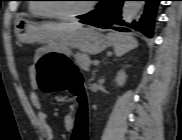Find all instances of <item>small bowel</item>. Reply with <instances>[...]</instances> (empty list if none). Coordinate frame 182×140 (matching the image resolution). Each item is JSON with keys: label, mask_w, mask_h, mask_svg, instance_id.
Returning <instances> with one entry per match:
<instances>
[{"label": "small bowel", "mask_w": 182, "mask_h": 140, "mask_svg": "<svg viewBox=\"0 0 182 140\" xmlns=\"http://www.w3.org/2000/svg\"><path fill=\"white\" fill-rule=\"evenodd\" d=\"M43 57L42 52L41 51H37L34 55V64L30 66L29 68V73L32 75L35 73V69H36V63ZM31 102L33 104V106L38 109V113H37V119H38V123L39 126L43 132V135L45 137L46 140H52L54 137L53 134V129L51 127V124L49 122V118L48 115L45 111L41 110V100L39 98V96L36 93H32L31 96ZM73 125V118L71 116H66L64 119V126L67 130H71Z\"/></svg>", "instance_id": "1"}]
</instances>
